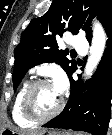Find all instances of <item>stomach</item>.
Masks as SVG:
<instances>
[{
	"label": "stomach",
	"mask_w": 112,
	"mask_h": 135,
	"mask_svg": "<svg viewBox=\"0 0 112 135\" xmlns=\"http://www.w3.org/2000/svg\"><path fill=\"white\" fill-rule=\"evenodd\" d=\"M12 134H16V132H14L11 129H4V130L0 131V135H12ZM48 135H71V134L67 133V132L52 131V132H49Z\"/></svg>",
	"instance_id": "stomach-1"
}]
</instances>
